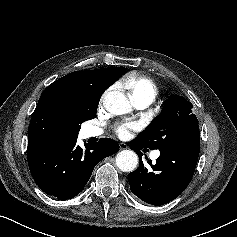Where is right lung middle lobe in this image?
I'll list each match as a JSON object with an SVG mask.
<instances>
[{
    "label": "right lung middle lobe",
    "mask_w": 237,
    "mask_h": 237,
    "mask_svg": "<svg viewBox=\"0 0 237 237\" xmlns=\"http://www.w3.org/2000/svg\"><path fill=\"white\" fill-rule=\"evenodd\" d=\"M95 74L98 76L103 87L107 88L115 81L113 75L108 69H96ZM99 102L80 104L73 108L72 119L74 122L73 136H77L80 130V124L88 119L96 117Z\"/></svg>",
    "instance_id": "1"
}]
</instances>
